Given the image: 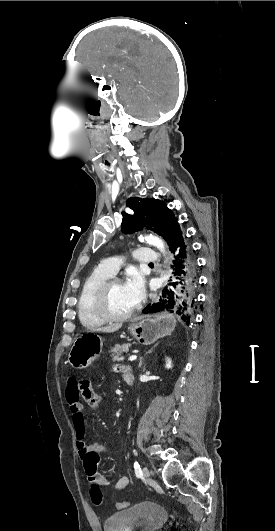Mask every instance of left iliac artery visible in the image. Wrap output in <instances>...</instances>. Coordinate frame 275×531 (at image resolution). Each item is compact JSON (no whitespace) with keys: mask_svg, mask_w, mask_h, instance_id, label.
<instances>
[{"mask_svg":"<svg viewBox=\"0 0 275 531\" xmlns=\"http://www.w3.org/2000/svg\"><path fill=\"white\" fill-rule=\"evenodd\" d=\"M134 470L137 478H141L143 476L141 467L137 461L134 462Z\"/></svg>","mask_w":275,"mask_h":531,"instance_id":"44dca946","label":"left iliac artery"}]
</instances>
